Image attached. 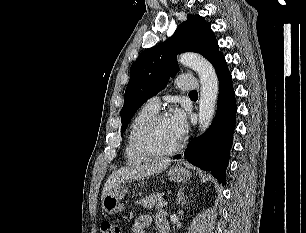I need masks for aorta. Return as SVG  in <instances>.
Masks as SVG:
<instances>
[{"label": "aorta", "instance_id": "1", "mask_svg": "<svg viewBox=\"0 0 306 233\" xmlns=\"http://www.w3.org/2000/svg\"><path fill=\"white\" fill-rule=\"evenodd\" d=\"M178 62L191 67L200 78L201 90L199 98V129L204 132L210 125L218 97V77L213 65L196 53H183Z\"/></svg>", "mask_w": 306, "mask_h": 233}]
</instances>
